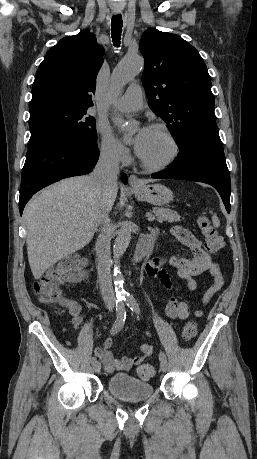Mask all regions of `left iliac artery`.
Listing matches in <instances>:
<instances>
[{"label":"left iliac artery","mask_w":257,"mask_h":459,"mask_svg":"<svg viewBox=\"0 0 257 459\" xmlns=\"http://www.w3.org/2000/svg\"><path fill=\"white\" fill-rule=\"evenodd\" d=\"M124 301L126 302L127 306L135 313H140V308L139 305L134 298L133 295L127 293L126 295L123 296ZM159 360H166V355L163 351H160L159 353Z\"/></svg>","instance_id":"left-iliac-artery-1"}]
</instances>
